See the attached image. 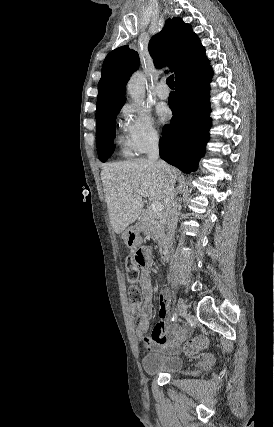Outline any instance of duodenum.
I'll return each mask as SVG.
<instances>
[{"label": "duodenum", "mask_w": 274, "mask_h": 427, "mask_svg": "<svg viewBox=\"0 0 274 427\" xmlns=\"http://www.w3.org/2000/svg\"><path fill=\"white\" fill-rule=\"evenodd\" d=\"M159 253L164 261L168 260V245L165 242L159 244Z\"/></svg>", "instance_id": "duodenum-1"}]
</instances>
